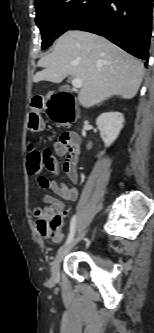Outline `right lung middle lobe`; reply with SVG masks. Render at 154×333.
Instances as JSON below:
<instances>
[{"label":"right lung middle lobe","instance_id":"obj_1","mask_svg":"<svg viewBox=\"0 0 154 333\" xmlns=\"http://www.w3.org/2000/svg\"><path fill=\"white\" fill-rule=\"evenodd\" d=\"M100 0H39L35 2L36 24L42 34V49L88 17Z\"/></svg>","mask_w":154,"mask_h":333}]
</instances>
